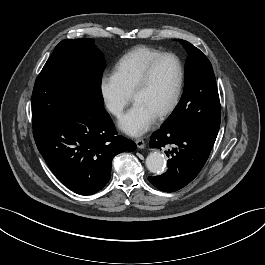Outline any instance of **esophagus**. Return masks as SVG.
<instances>
[{"instance_id":"esophagus-1","label":"esophagus","mask_w":265,"mask_h":265,"mask_svg":"<svg viewBox=\"0 0 265 265\" xmlns=\"http://www.w3.org/2000/svg\"><path fill=\"white\" fill-rule=\"evenodd\" d=\"M135 142L139 149H143L145 147V142L143 139H137Z\"/></svg>"}]
</instances>
